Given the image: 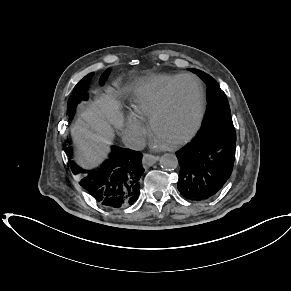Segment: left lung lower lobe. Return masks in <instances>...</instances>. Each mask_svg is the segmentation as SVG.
I'll return each instance as SVG.
<instances>
[{
  "label": "left lung lower lobe",
  "mask_w": 291,
  "mask_h": 291,
  "mask_svg": "<svg viewBox=\"0 0 291 291\" xmlns=\"http://www.w3.org/2000/svg\"><path fill=\"white\" fill-rule=\"evenodd\" d=\"M234 141L196 137L176 153L180 165L178 190L188 200L214 197L228 181L235 159Z\"/></svg>",
  "instance_id": "left-lung-lower-lobe-1"
}]
</instances>
